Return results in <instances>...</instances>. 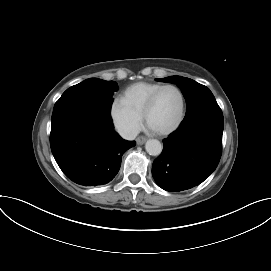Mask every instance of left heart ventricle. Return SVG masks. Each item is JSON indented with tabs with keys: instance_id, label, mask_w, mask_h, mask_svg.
<instances>
[{
	"instance_id": "obj_1",
	"label": "left heart ventricle",
	"mask_w": 271,
	"mask_h": 271,
	"mask_svg": "<svg viewBox=\"0 0 271 271\" xmlns=\"http://www.w3.org/2000/svg\"><path fill=\"white\" fill-rule=\"evenodd\" d=\"M180 105V97L176 90H164L148 116V124L155 131L171 127L179 116Z\"/></svg>"
}]
</instances>
